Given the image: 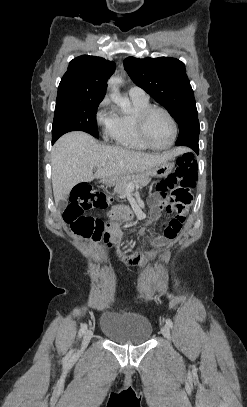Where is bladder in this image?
Segmentation results:
<instances>
[{
  "instance_id": "1",
  "label": "bladder",
  "mask_w": 247,
  "mask_h": 407,
  "mask_svg": "<svg viewBox=\"0 0 247 407\" xmlns=\"http://www.w3.org/2000/svg\"><path fill=\"white\" fill-rule=\"evenodd\" d=\"M100 328L110 341L119 344H143L152 335L150 320L136 312L106 310L101 315Z\"/></svg>"
}]
</instances>
